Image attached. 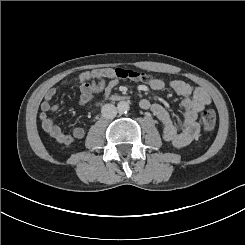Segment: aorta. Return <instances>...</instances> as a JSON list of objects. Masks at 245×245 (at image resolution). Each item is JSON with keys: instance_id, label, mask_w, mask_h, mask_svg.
<instances>
[{"instance_id": "aorta-1", "label": "aorta", "mask_w": 245, "mask_h": 245, "mask_svg": "<svg viewBox=\"0 0 245 245\" xmlns=\"http://www.w3.org/2000/svg\"><path fill=\"white\" fill-rule=\"evenodd\" d=\"M117 109H118V112L121 114L127 113L130 109V105L127 101H120L117 104Z\"/></svg>"}]
</instances>
